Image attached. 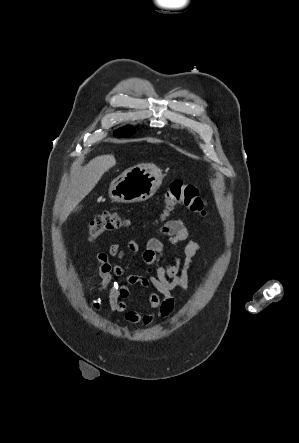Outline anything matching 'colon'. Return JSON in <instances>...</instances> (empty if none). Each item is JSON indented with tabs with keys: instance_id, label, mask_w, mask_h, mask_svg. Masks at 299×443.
I'll return each mask as SVG.
<instances>
[{
	"instance_id": "5ec220e1",
	"label": "colon",
	"mask_w": 299,
	"mask_h": 443,
	"mask_svg": "<svg viewBox=\"0 0 299 443\" xmlns=\"http://www.w3.org/2000/svg\"><path fill=\"white\" fill-rule=\"evenodd\" d=\"M164 204L162 219L167 217L178 204L186 206L191 212L202 218H208L204 201L196 186L182 180H174L170 183L169 188L165 193ZM126 223V220L118 213L104 211L90 222L87 231L88 239L93 241L105 232L120 228Z\"/></svg>"
}]
</instances>
